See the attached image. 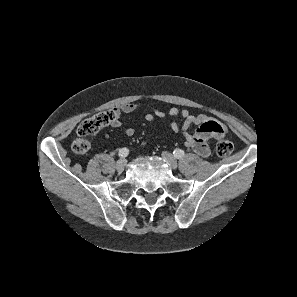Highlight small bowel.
I'll use <instances>...</instances> for the list:
<instances>
[{
    "mask_svg": "<svg viewBox=\"0 0 297 297\" xmlns=\"http://www.w3.org/2000/svg\"><path fill=\"white\" fill-rule=\"evenodd\" d=\"M140 109V106L134 103H127L115 109L117 118L112 122V126L118 128L121 126L119 117L122 114H130ZM180 116L182 123L179 124L176 118ZM170 118V128L174 132L182 131L184 135L185 145L194 150L198 155L207 157L210 154V141L216 140L224 135L223 126L216 120L205 114L194 115L189 110H179L176 107L170 108L168 111ZM147 121L165 118V113L158 108H151L145 116ZM191 125H196L194 133H189L188 129ZM125 134L132 137L135 134L134 128H127Z\"/></svg>",
    "mask_w": 297,
    "mask_h": 297,
    "instance_id": "obj_1",
    "label": "small bowel"
}]
</instances>
